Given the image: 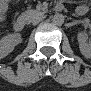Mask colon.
<instances>
[{
	"label": "colon",
	"instance_id": "5ec220e1",
	"mask_svg": "<svg viewBox=\"0 0 91 91\" xmlns=\"http://www.w3.org/2000/svg\"><path fill=\"white\" fill-rule=\"evenodd\" d=\"M8 8H9V3L7 1H2L0 3V10H1L2 14L6 13Z\"/></svg>",
	"mask_w": 91,
	"mask_h": 91
}]
</instances>
